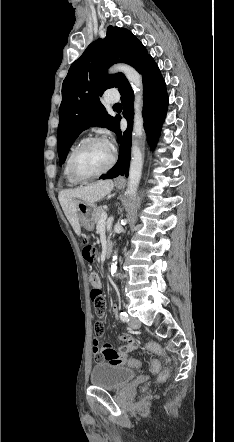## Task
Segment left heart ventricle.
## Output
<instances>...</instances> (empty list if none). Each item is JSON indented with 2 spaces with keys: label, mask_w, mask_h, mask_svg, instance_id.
Returning <instances> with one entry per match:
<instances>
[{
  "label": "left heart ventricle",
  "mask_w": 234,
  "mask_h": 442,
  "mask_svg": "<svg viewBox=\"0 0 234 442\" xmlns=\"http://www.w3.org/2000/svg\"><path fill=\"white\" fill-rule=\"evenodd\" d=\"M111 156L112 150L106 142L92 143L76 154L74 168L81 175H92L103 170Z\"/></svg>",
  "instance_id": "obj_1"
}]
</instances>
